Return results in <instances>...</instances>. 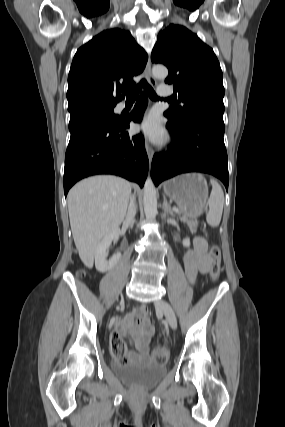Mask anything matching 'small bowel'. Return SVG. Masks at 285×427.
<instances>
[{
	"mask_svg": "<svg viewBox=\"0 0 285 427\" xmlns=\"http://www.w3.org/2000/svg\"><path fill=\"white\" fill-rule=\"evenodd\" d=\"M208 244L203 237L193 239V247L187 250L183 256L185 274L190 282H194L199 273H205L210 269L212 260L207 252ZM146 306H139L128 313L120 321L112 336H120L121 333L128 335L133 349L128 352L125 361H149L150 358V336L154 328L147 317Z\"/></svg>",
	"mask_w": 285,
	"mask_h": 427,
	"instance_id": "obj_1",
	"label": "small bowel"
}]
</instances>
